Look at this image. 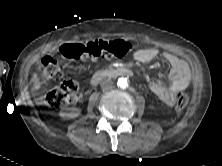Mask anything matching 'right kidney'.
<instances>
[{
  "mask_svg": "<svg viewBox=\"0 0 222 166\" xmlns=\"http://www.w3.org/2000/svg\"><path fill=\"white\" fill-rule=\"evenodd\" d=\"M81 113V110L79 108H72L70 112H60L59 115L64 119H74L78 117Z\"/></svg>",
  "mask_w": 222,
  "mask_h": 166,
  "instance_id": "1",
  "label": "right kidney"
}]
</instances>
